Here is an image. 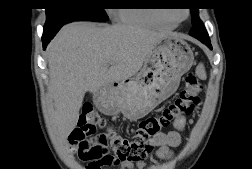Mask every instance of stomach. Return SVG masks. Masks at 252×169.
<instances>
[{
  "mask_svg": "<svg viewBox=\"0 0 252 169\" xmlns=\"http://www.w3.org/2000/svg\"><path fill=\"white\" fill-rule=\"evenodd\" d=\"M193 61V50L184 39L166 36L153 48L136 76L100 89L94 102L108 115L122 113L132 121L143 118L177 90L181 76Z\"/></svg>",
  "mask_w": 252,
  "mask_h": 169,
  "instance_id": "1",
  "label": "stomach"
}]
</instances>
